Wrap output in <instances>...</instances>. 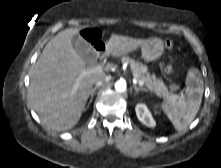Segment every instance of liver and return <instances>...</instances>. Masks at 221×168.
Returning <instances> with one entry per match:
<instances>
[{"label":"liver","instance_id":"6515ba94","mask_svg":"<svg viewBox=\"0 0 221 168\" xmlns=\"http://www.w3.org/2000/svg\"><path fill=\"white\" fill-rule=\"evenodd\" d=\"M79 31L66 29L52 38L35 63L30 79L32 107L42 122L55 131L69 130L78 123L93 84L97 78L106 76L104 71L84 74L86 63L72 46V38ZM145 41L112 35L106 50L112 56L120 57L136 50ZM109 67H105V71Z\"/></svg>","mask_w":221,"mask_h":168}]
</instances>
